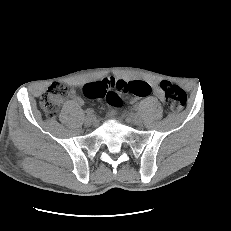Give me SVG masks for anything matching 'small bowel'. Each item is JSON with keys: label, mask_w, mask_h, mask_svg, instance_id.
<instances>
[{"label": "small bowel", "mask_w": 231, "mask_h": 231, "mask_svg": "<svg viewBox=\"0 0 231 231\" xmlns=\"http://www.w3.org/2000/svg\"><path fill=\"white\" fill-rule=\"evenodd\" d=\"M150 90L152 91V93L160 100H164V93L162 91V89L160 88V86L157 84V82L155 80H150ZM138 96H133L131 101L132 102H135L137 100ZM72 101L77 104V105H81L83 104V100L76 96V95H73L72 97Z\"/></svg>", "instance_id": "obj_1"}]
</instances>
